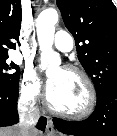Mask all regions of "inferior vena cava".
Masks as SVG:
<instances>
[{
    "label": "inferior vena cava",
    "instance_id": "1",
    "mask_svg": "<svg viewBox=\"0 0 117 136\" xmlns=\"http://www.w3.org/2000/svg\"><path fill=\"white\" fill-rule=\"evenodd\" d=\"M18 112L20 118L19 127L22 133L21 136H29L31 131H35V124L40 116L39 109L28 101L20 99L18 103Z\"/></svg>",
    "mask_w": 117,
    "mask_h": 136
}]
</instances>
